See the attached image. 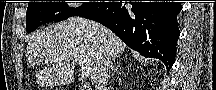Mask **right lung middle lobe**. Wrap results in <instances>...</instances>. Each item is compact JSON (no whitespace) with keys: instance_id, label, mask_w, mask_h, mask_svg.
Returning <instances> with one entry per match:
<instances>
[{"instance_id":"dd1d6c3e","label":"right lung middle lobe","mask_w":216,"mask_h":90,"mask_svg":"<svg viewBox=\"0 0 216 90\" xmlns=\"http://www.w3.org/2000/svg\"><path fill=\"white\" fill-rule=\"evenodd\" d=\"M102 2H86L78 8H67L66 2H29L26 13L28 33L49 22H59L72 16H81L97 8Z\"/></svg>"}]
</instances>
